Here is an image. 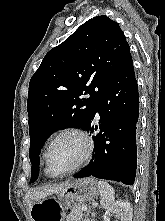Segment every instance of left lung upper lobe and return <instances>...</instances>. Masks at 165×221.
<instances>
[{
  "mask_svg": "<svg viewBox=\"0 0 165 221\" xmlns=\"http://www.w3.org/2000/svg\"><path fill=\"white\" fill-rule=\"evenodd\" d=\"M130 56L124 33L105 15L86 21L46 54L29 83L30 183L38 177L48 137L62 127L85 129L103 90Z\"/></svg>",
  "mask_w": 165,
  "mask_h": 221,
  "instance_id": "5c2ea615",
  "label": "left lung upper lobe"
}]
</instances>
